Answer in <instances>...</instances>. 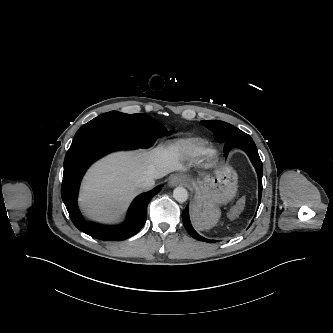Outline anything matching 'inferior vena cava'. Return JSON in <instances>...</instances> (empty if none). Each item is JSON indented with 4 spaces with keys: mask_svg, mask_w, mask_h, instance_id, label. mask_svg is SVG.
Instances as JSON below:
<instances>
[{
    "mask_svg": "<svg viewBox=\"0 0 333 333\" xmlns=\"http://www.w3.org/2000/svg\"><path fill=\"white\" fill-rule=\"evenodd\" d=\"M155 185V179L151 176H143L136 181V186L142 190H149Z\"/></svg>",
    "mask_w": 333,
    "mask_h": 333,
    "instance_id": "obj_1",
    "label": "inferior vena cava"
}]
</instances>
